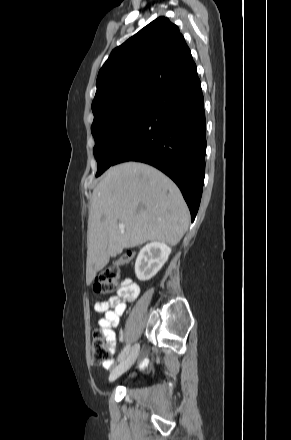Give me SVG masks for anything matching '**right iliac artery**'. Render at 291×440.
<instances>
[{
    "label": "right iliac artery",
    "instance_id": "1",
    "mask_svg": "<svg viewBox=\"0 0 291 440\" xmlns=\"http://www.w3.org/2000/svg\"><path fill=\"white\" fill-rule=\"evenodd\" d=\"M129 350H130V345L125 346L122 352L118 356V361H122L128 355Z\"/></svg>",
    "mask_w": 291,
    "mask_h": 440
}]
</instances>
